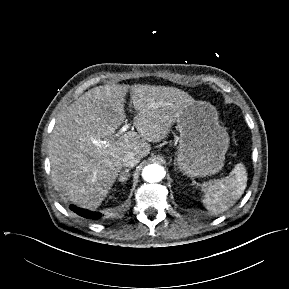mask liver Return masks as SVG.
Returning <instances> with one entry per match:
<instances>
[{
	"label": "liver",
	"mask_w": 289,
	"mask_h": 289,
	"mask_svg": "<svg viewBox=\"0 0 289 289\" xmlns=\"http://www.w3.org/2000/svg\"><path fill=\"white\" fill-rule=\"evenodd\" d=\"M129 90L138 132L117 137L116 130L125 122ZM193 102L187 92L175 87L106 84L88 90L58 115L50 136L55 189L82 208H97L116 181L124 156L133 152L146 157L149 142L165 139L184 107ZM93 140L106 144L98 146Z\"/></svg>",
	"instance_id": "1"
}]
</instances>
